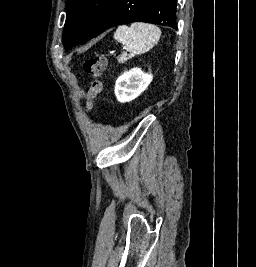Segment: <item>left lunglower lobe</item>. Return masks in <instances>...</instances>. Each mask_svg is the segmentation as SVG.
I'll return each instance as SVG.
<instances>
[{
    "mask_svg": "<svg viewBox=\"0 0 256 267\" xmlns=\"http://www.w3.org/2000/svg\"><path fill=\"white\" fill-rule=\"evenodd\" d=\"M175 5H177V0H175Z\"/></svg>",
    "mask_w": 256,
    "mask_h": 267,
    "instance_id": "0a47b994",
    "label": "left lung lower lobe"
}]
</instances>
